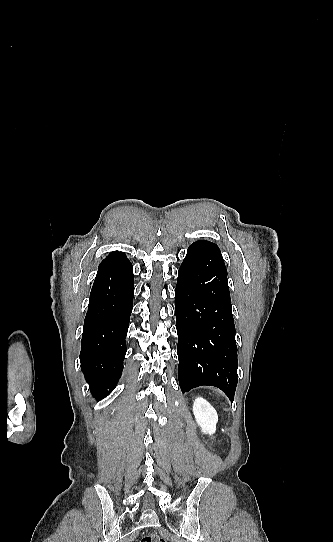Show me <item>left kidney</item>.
I'll list each match as a JSON object with an SVG mask.
<instances>
[{"label":"left kidney","mask_w":333,"mask_h":542,"mask_svg":"<svg viewBox=\"0 0 333 542\" xmlns=\"http://www.w3.org/2000/svg\"><path fill=\"white\" fill-rule=\"evenodd\" d=\"M193 414L204 434H210V436L215 434L218 416L216 410H214L213 406H210L209 402H206L203 398H196L193 404Z\"/></svg>","instance_id":"left-kidney-1"}]
</instances>
